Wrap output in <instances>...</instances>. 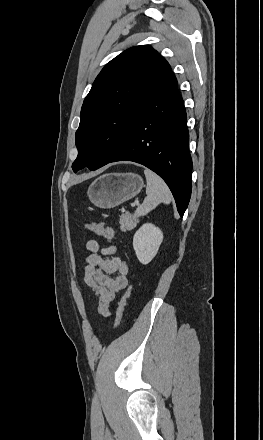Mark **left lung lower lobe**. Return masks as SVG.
Segmentation results:
<instances>
[{"mask_svg": "<svg viewBox=\"0 0 263 440\" xmlns=\"http://www.w3.org/2000/svg\"><path fill=\"white\" fill-rule=\"evenodd\" d=\"M116 161L137 162L157 173L183 216L191 197L192 159L184 101L172 71L141 108L126 142L106 164Z\"/></svg>", "mask_w": 263, "mask_h": 440, "instance_id": "1", "label": "left lung lower lobe"}]
</instances>
